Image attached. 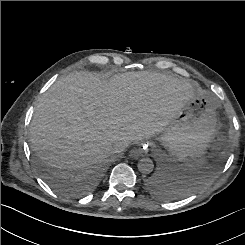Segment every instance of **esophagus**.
Here are the masks:
<instances>
[{
	"label": "esophagus",
	"mask_w": 245,
	"mask_h": 245,
	"mask_svg": "<svg viewBox=\"0 0 245 245\" xmlns=\"http://www.w3.org/2000/svg\"><path fill=\"white\" fill-rule=\"evenodd\" d=\"M149 151V144L147 143H142L139 145L138 148H136L132 154L133 156H138L141 153H147Z\"/></svg>",
	"instance_id": "1"
}]
</instances>
